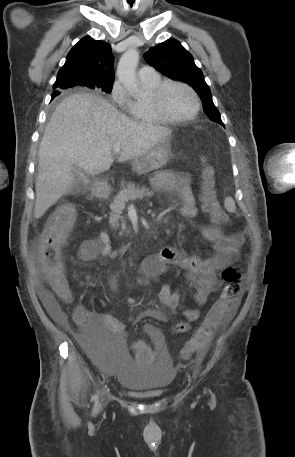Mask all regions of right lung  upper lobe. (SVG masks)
Returning a JSON list of instances; mask_svg holds the SVG:
<instances>
[{
  "mask_svg": "<svg viewBox=\"0 0 295 457\" xmlns=\"http://www.w3.org/2000/svg\"><path fill=\"white\" fill-rule=\"evenodd\" d=\"M113 64L110 44L84 37L68 53L53 88L66 89L71 84L88 88L113 84Z\"/></svg>",
  "mask_w": 295,
  "mask_h": 457,
  "instance_id": "right-lung-upper-lobe-1",
  "label": "right lung upper lobe"
}]
</instances>
